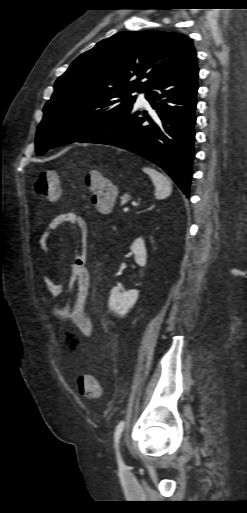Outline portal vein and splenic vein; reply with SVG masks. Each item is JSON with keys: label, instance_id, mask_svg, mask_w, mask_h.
I'll return each instance as SVG.
<instances>
[{"label": "portal vein and splenic vein", "instance_id": "18ae733b", "mask_svg": "<svg viewBox=\"0 0 247 513\" xmlns=\"http://www.w3.org/2000/svg\"><path fill=\"white\" fill-rule=\"evenodd\" d=\"M128 211H129V208H127V207L123 208L124 213H127Z\"/></svg>", "mask_w": 247, "mask_h": 513}]
</instances>
